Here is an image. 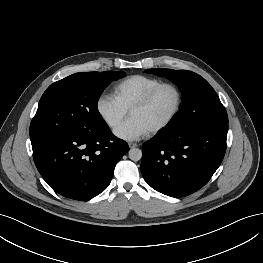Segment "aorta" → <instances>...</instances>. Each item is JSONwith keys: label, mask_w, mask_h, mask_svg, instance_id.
Returning <instances> with one entry per match:
<instances>
[{"label": "aorta", "mask_w": 263, "mask_h": 263, "mask_svg": "<svg viewBox=\"0 0 263 263\" xmlns=\"http://www.w3.org/2000/svg\"><path fill=\"white\" fill-rule=\"evenodd\" d=\"M129 158L133 161H139L142 158V151L139 148L130 149Z\"/></svg>", "instance_id": "762f6f07"}]
</instances>
